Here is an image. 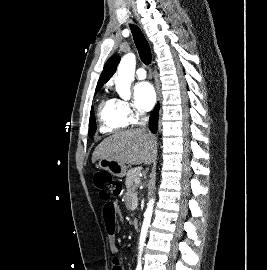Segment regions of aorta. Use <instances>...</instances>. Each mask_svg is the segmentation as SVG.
Listing matches in <instances>:
<instances>
[{
    "label": "aorta",
    "instance_id": "aorta-1",
    "mask_svg": "<svg viewBox=\"0 0 267 270\" xmlns=\"http://www.w3.org/2000/svg\"><path fill=\"white\" fill-rule=\"evenodd\" d=\"M136 66V57L133 53L126 54L120 61L117 76L115 78V88L119 96L123 99H129L131 96L130 87L134 79ZM154 199H150L144 213V220L141 228L139 252L143 250L144 242L147 236V231L150 226L151 217L153 213Z\"/></svg>",
    "mask_w": 267,
    "mask_h": 270
}]
</instances>
